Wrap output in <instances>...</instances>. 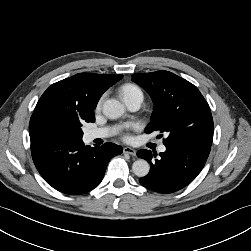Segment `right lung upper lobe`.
Wrapping results in <instances>:
<instances>
[{"label": "right lung upper lobe", "instance_id": "obj_1", "mask_svg": "<svg viewBox=\"0 0 251 251\" xmlns=\"http://www.w3.org/2000/svg\"><path fill=\"white\" fill-rule=\"evenodd\" d=\"M122 77L78 73L52 84L39 99L30 119L31 144L55 142L54 129L60 122H94L93 110L99 98Z\"/></svg>", "mask_w": 251, "mask_h": 251}]
</instances>
